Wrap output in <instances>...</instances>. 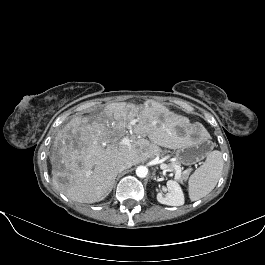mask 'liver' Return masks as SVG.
<instances>
[{"mask_svg": "<svg viewBox=\"0 0 265 265\" xmlns=\"http://www.w3.org/2000/svg\"><path fill=\"white\" fill-rule=\"evenodd\" d=\"M188 123L187 117L158 103L145 106L141 112L125 102L110 103L95 117L76 116L55 137L53 183L73 201L99 202L111 192L119 162L130 160L136 165L159 155L160 146H185L189 134L181 136L178 128L187 130ZM130 124L131 142L122 145ZM56 157L63 163L61 170L54 163Z\"/></svg>", "mask_w": 265, "mask_h": 265, "instance_id": "1", "label": "liver"}]
</instances>
